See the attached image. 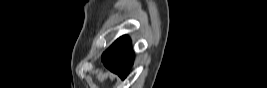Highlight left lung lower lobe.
<instances>
[{"label":"left lung lower lobe","mask_w":267,"mask_h":88,"mask_svg":"<svg viewBox=\"0 0 267 88\" xmlns=\"http://www.w3.org/2000/svg\"><path fill=\"white\" fill-rule=\"evenodd\" d=\"M104 65L112 72L125 79L133 63L130 41L127 37H120L102 55Z\"/></svg>","instance_id":"left-lung-lower-lobe-1"}]
</instances>
